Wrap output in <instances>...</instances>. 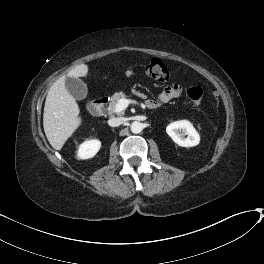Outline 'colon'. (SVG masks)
<instances>
[{
	"label": "colon",
	"mask_w": 264,
	"mask_h": 264,
	"mask_svg": "<svg viewBox=\"0 0 264 264\" xmlns=\"http://www.w3.org/2000/svg\"><path fill=\"white\" fill-rule=\"evenodd\" d=\"M147 74L155 80L166 81L169 78V72L165 64L158 58H152L145 65ZM186 96L189 100L196 104H202L205 99V95L200 87H190L186 89ZM208 101L210 104H216L218 101L217 92H212Z\"/></svg>",
	"instance_id": "colon-1"
}]
</instances>
